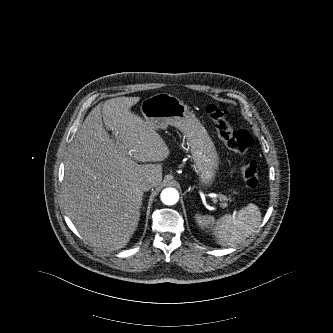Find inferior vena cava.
Segmentation results:
<instances>
[{
  "label": "inferior vena cava",
  "instance_id": "obj_1",
  "mask_svg": "<svg viewBox=\"0 0 333 333\" xmlns=\"http://www.w3.org/2000/svg\"><path fill=\"white\" fill-rule=\"evenodd\" d=\"M154 179H152V178H149L148 180H146L144 183H143V185H142V189L144 190V191H148V190H150L152 187H153V185H154Z\"/></svg>",
  "mask_w": 333,
  "mask_h": 333
}]
</instances>
